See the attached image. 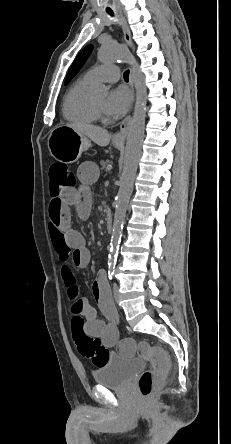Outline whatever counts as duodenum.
Masks as SVG:
<instances>
[{
  "instance_id": "obj_1",
  "label": "duodenum",
  "mask_w": 231,
  "mask_h": 444,
  "mask_svg": "<svg viewBox=\"0 0 231 444\" xmlns=\"http://www.w3.org/2000/svg\"><path fill=\"white\" fill-rule=\"evenodd\" d=\"M105 227H106V231L107 232H111L112 228H113V216L110 212H108L106 214L105 217Z\"/></svg>"
}]
</instances>
